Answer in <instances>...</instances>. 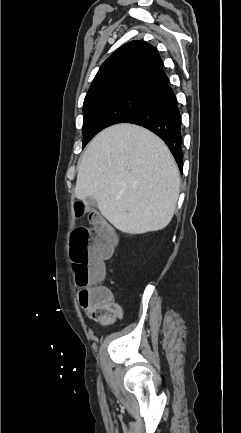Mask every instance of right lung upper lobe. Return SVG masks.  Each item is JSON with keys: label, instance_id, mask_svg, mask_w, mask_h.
Masks as SVG:
<instances>
[{"label": "right lung upper lobe", "instance_id": "cb5924a9", "mask_svg": "<svg viewBox=\"0 0 241 433\" xmlns=\"http://www.w3.org/2000/svg\"><path fill=\"white\" fill-rule=\"evenodd\" d=\"M168 82L156 49L146 42L135 40L121 46L105 60L84 102L125 92L150 94Z\"/></svg>", "mask_w": 241, "mask_h": 433}]
</instances>
